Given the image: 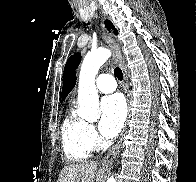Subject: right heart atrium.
Masks as SVG:
<instances>
[{
  "label": "right heart atrium",
  "mask_w": 196,
  "mask_h": 182,
  "mask_svg": "<svg viewBox=\"0 0 196 182\" xmlns=\"http://www.w3.org/2000/svg\"><path fill=\"white\" fill-rule=\"evenodd\" d=\"M87 137L92 147L99 145V137L94 127L90 124H87Z\"/></svg>",
  "instance_id": "right-heart-atrium-1"
}]
</instances>
